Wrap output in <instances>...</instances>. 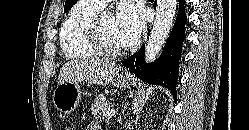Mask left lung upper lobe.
Masks as SVG:
<instances>
[{
	"mask_svg": "<svg viewBox=\"0 0 249 130\" xmlns=\"http://www.w3.org/2000/svg\"><path fill=\"white\" fill-rule=\"evenodd\" d=\"M76 2H77V0H66L65 6H64V11L65 12L69 11Z\"/></svg>",
	"mask_w": 249,
	"mask_h": 130,
	"instance_id": "obj_1",
	"label": "left lung upper lobe"
}]
</instances>
